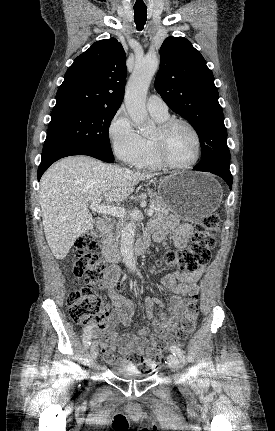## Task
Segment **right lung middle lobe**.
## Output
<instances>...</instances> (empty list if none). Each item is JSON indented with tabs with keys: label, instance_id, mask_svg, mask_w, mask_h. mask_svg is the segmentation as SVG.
Instances as JSON below:
<instances>
[{
	"label": "right lung middle lobe",
	"instance_id": "right-lung-middle-lobe-1",
	"mask_svg": "<svg viewBox=\"0 0 275 431\" xmlns=\"http://www.w3.org/2000/svg\"><path fill=\"white\" fill-rule=\"evenodd\" d=\"M118 109H73L51 113L45 145L85 144L111 155L109 124Z\"/></svg>",
	"mask_w": 275,
	"mask_h": 431
}]
</instances>
